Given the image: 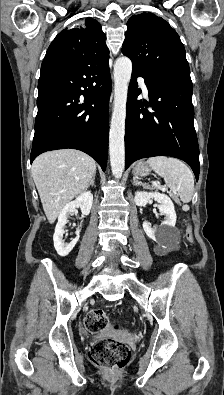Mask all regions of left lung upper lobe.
Here are the masks:
<instances>
[{"mask_svg": "<svg viewBox=\"0 0 224 395\" xmlns=\"http://www.w3.org/2000/svg\"><path fill=\"white\" fill-rule=\"evenodd\" d=\"M122 53L132 60L135 69L192 83L180 37L155 14L141 13L130 17Z\"/></svg>", "mask_w": 224, "mask_h": 395, "instance_id": "5c2ea615", "label": "left lung upper lobe"}]
</instances>
